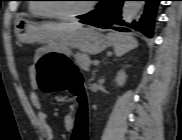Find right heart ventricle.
Returning a JSON list of instances; mask_svg holds the SVG:
<instances>
[{"label":"right heart ventricle","instance_id":"1","mask_svg":"<svg viewBox=\"0 0 182 140\" xmlns=\"http://www.w3.org/2000/svg\"><path fill=\"white\" fill-rule=\"evenodd\" d=\"M45 0H32L28 5V12L35 17L52 16L48 8V4L40 3Z\"/></svg>","mask_w":182,"mask_h":140}]
</instances>
